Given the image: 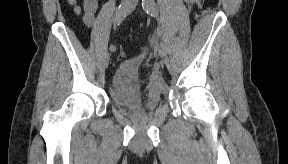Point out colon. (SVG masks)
Instances as JSON below:
<instances>
[{
  "label": "colon",
  "mask_w": 288,
  "mask_h": 164,
  "mask_svg": "<svg viewBox=\"0 0 288 164\" xmlns=\"http://www.w3.org/2000/svg\"><path fill=\"white\" fill-rule=\"evenodd\" d=\"M88 1V0H86ZM94 16V10L91 9L89 6H85L84 7V18H89V17H93ZM126 57V53L124 52L123 49H120L119 54H118V58L119 59H124Z\"/></svg>",
  "instance_id": "1"
}]
</instances>
